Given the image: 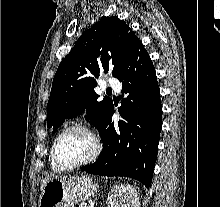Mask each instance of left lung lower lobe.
<instances>
[{
    "label": "left lung lower lobe",
    "instance_id": "left-lung-lower-lobe-1",
    "mask_svg": "<svg viewBox=\"0 0 220 207\" xmlns=\"http://www.w3.org/2000/svg\"><path fill=\"white\" fill-rule=\"evenodd\" d=\"M122 82V120L114 126L111 105L99 135L103 149L95 163L83 168L90 174L131 177L150 187L162 126L160 90L155 68L140 43L117 77Z\"/></svg>",
    "mask_w": 220,
    "mask_h": 207
}]
</instances>
